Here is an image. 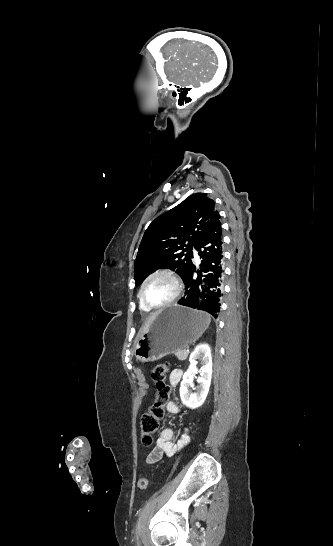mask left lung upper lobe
Returning <instances> with one entry per match:
<instances>
[{
  "label": "left lung upper lobe",
  "mask_w": 333,
  "mask_h": 546,
  "mask_svg": "<svg viewBox=\"0 0 333 546\" xmlns=\"http://www.w3.org/2000/svg\"><path fill=\"white\" fill-rule=\"evenodd\" d=\"M219 216L206 193H195L157 217L142 238L134 263L136 285L157 269L170 268L184 280L192 265V246Z\"/></svg>",
  "instance_id": "5c2ea615"
}]
</instances>
